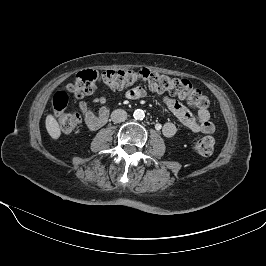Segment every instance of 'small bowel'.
I'll use <instances>...</instances> for the list:
<instances>
[{
    "label": "small bowel",
    "mask_w": 266,
    "mask_h": 266,
    "mask_svg": "<svg viewBox=\"0 0 266 266\" xmlns=\"http://www.w3.org/2000/svg\"><path fill=\"white\" fill-rule=\"evenodd\" d=\"M145 96V90L141 87H134L126 92V97L131 100H137ZM106 98L103 96L93 99V103L99 105V109L95 112L87 102L79 103L86 127L95 131L105 124L107 121L109 109L106 106ZM164 102L168 109L174 114L179 122L186 128L195 133L211 134L214 132V124L210 121V114L207 109L199 110L195 117L183 104L180 102L165 97ZM177 128L174 123L166 122L162 127L164 136L170 138L176 134Z\"/></svg>",
    "instance_id": "c3829d8e"
}]
</instances>
